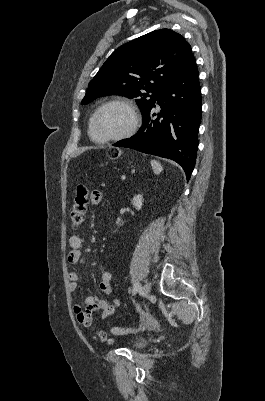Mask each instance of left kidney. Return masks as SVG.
Here are the masks:
<instances>
[{
  "mask_svg": "<svg viewBox=\"0 0 265 401\" xmlns=\"http://www.w3.org/2000/svg\"><path fill=\"white\" fill-rule=\"evenodd\" d=\"M132 203H133L135 209H137V211H140V209H142V205H143L142 194H135L134 198H132Z\"/></svg>",
  "mask_w": 265,
  "mask_h": 401,
  "instance_id": "5707ae66",
  "label": "left kidney"
}]
</instances>
